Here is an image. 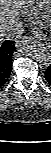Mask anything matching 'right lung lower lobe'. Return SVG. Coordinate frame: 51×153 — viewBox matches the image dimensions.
I'll return each instance as SVG.
<instances>
[{"instance_id":"98d812e1","label":"right lung lower lobe","mask_w":51,"mask_h":153,"mask_svg":"<svg viewBox=\"0 0 51 153\" xmlns=\"http://www.w3.org/2000/svg\"><path fill=\"white\" fill-rule=\"evenodd\" d=\"M15 42L6 40L0 41V87L8 80L12 70V56L15 49Z\"/></svg>"}]
</instances>
